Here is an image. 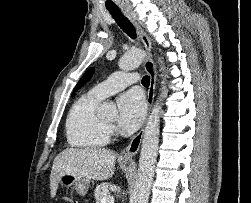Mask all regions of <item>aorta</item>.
Segmentation results:
<instances>
[{
    "label": "aorta",
    "instance_id": "762f6f07",
    "mask_svg": "<svg viewBox=\"0 0 251 203\" xmlns=\"http://www.w3.org/2000/svg\"><path fill=\"white\" fill-rule=\"evenodd\" d=\"M145 53L140 49H133L126 53L119 60V67L123 70H132L137 68L143 61ZM164 71V68L161 67ZM162 81L165 84L166 76ZM160 95L159 101H161ZM160 109L159 102L153 107L148 118L147 125L144 130L138 175L135 182L134 190L131 196L130 203H147L150 195V189L154 177V168L157 158V150L159 143V125H160ZM116 113V109L109 103H103L99 109V114L102 116H112Z\"/></svg>",
    "mask_w": 251,
    "mask_h": 203
}]
</instances>
